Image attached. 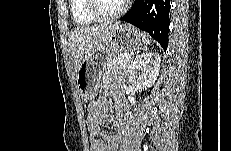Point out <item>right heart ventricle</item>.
<instances>
[{"mask_svg":"<svg viewBox=\"0 0 231 151\" xmlns=\"http://www.w3.org/2000/svg\"><path fill=\"white\" fill-rule=\"evenodd\" d=\"M71 13L73 20L78 25L86 26L97 22L88 11V0H72Z\"/></svg>","mask_w":231,"mask_h":151,"instance_id":"right-heart-ventricle-1","label":"right heart ventricle"}]
</instances>
